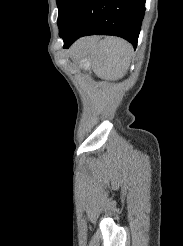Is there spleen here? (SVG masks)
Returning <instances> with one entry per match:
<instances>
[{"mask_svg":"<svg viewBox=\"0 0 183 246\" xmlns=\"http://www.w3.org/2000/svg\"><path fill=\"white\" fill-rule=\"evenodd\" d=\"M133 48L127 41L107 37L100 43V53L97 61V74L107 80H118L127 73ZM89 68L90 63L84 65Z\"/></svg>","mask_w":183,"mask_h":246,"instance_id":"1","label":"spleen"}]
</instances>
